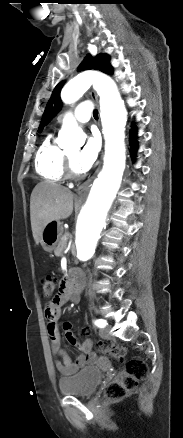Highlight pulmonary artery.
I'll list each match as a JSON object with an SVG mask.
<instances>
[{
  "mask_svg": "<svg viewBox=\"0 0 183 438\" xmlns=\"http://www.w3.org/2000/svg\"><path fill=\"white\" fill-rule=\"evenodd\" d=\"M92 114V104L89 101H83L77 105L74 110V118L79 123L89 121Z\"/></svg>",
  "mask_w": 183,
  "mask_h": 438,
  "instance_id": "pulmonary-artery-1",
  "label": "pulmonary artery"
}]
</instances>
